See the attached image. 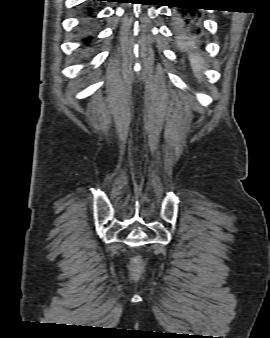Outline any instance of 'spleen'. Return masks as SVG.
<instances>
[{"label": "spleen", "mask_w": 270, "mask_h": 338, "mask_svg": "<svg viewBox=\"0 0 270 338\" xmlns=\"http://www.w3.org/2000/svg\"><path fill=\"white\" fill-rule=\"evenodd\" d=\"M189 60L191 63V67L194 71V74L200 81H202L203 78H202L201 70L205 68L204 59L200 57V55H198L197 53H190Z\"/></svg>", "instance_id": "3e777b00"}]
</instances>
